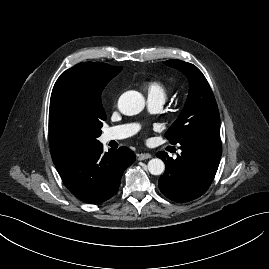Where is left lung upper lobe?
I'll use <instances>...</instances> for the list:
<instances>
[{"label": "left lung upper lobe", "instance_id": "1", "mask_svg": "<svg viewBox=\"0 0 269 269\" xmlns=\"http://www.w3.org/2000/svg\"><path fill=\"white\" fill-rule=\"evenodd\" d=\"M186 75L190 89L185 106L165 137L180 145L202 134L220 135V116L213 92L203 73L193 64L177 59L165 62Z\"/></svg>", "mask_w": 269, "mask_h": 269}]
</instances>
